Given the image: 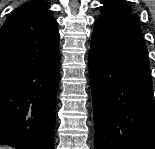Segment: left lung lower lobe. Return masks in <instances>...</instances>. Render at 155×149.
<instances>
[{
	"mask_svg": "<svg viewBox=\"0 0 155 149\" xmlns=\"http://www.w3.org/2000/svg\"><path fill=\"white\" fill-rule=\"evenodd\" d=\"M95 149H155V102L137 15L96 21L89 52Z\"/></svg>",
	"mask_w": 155,
	"mask_h": 149,
	"instance_id": "0a47b994",
	"label": "left lung lower lobe"
}]
</instances>
